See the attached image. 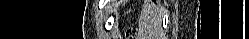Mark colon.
<instances>
[{"instance_id":"5ec220e1","label":"colon","mask_w":249,"mask_h":39,"mask_svg":"<svg viewBox=\"0 0 249 39\" xmlns=\"http://www.w3.org/2000/svg\"><path fill=\"white\" fill-rule=\"evenodd\" d=\"M127 36L129 38H135L136 36V28L132 27L127 30Z\"/></svg>"}]
</instances>
